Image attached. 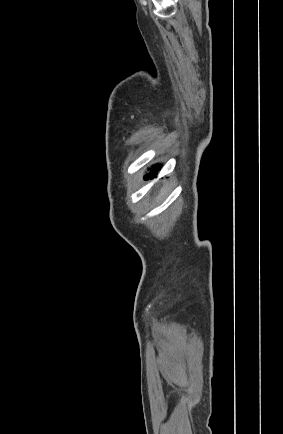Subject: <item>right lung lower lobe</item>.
Wrapping results in <instances>:
<instances>
[{"mask_svg":"<svg viewBox=\"0 0 283 434\" xmlns=\"http://www.w3.org/2000/svg\"><path fill=\"white\" fill-rule=\"evenodd\" d=\"M157 168H158V166L153 167L151 169V172L146 175V179L153 178V176H156L157 175Z\"/></svg>","mask_w":283,"mask_h":434,"instance_id":"98d812e1","label":"right lung lower lobe"}]
</instances>
